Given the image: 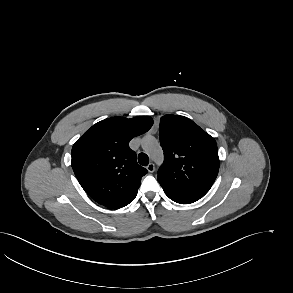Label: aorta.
Segmentation results:
<instances>
[{
  "label": "aorta",
  "mask_w": 293,
  "mask_h": 293,
  "mask_svg": "<svg viewBox=\"0 0 293 293\" xmlns=\"http://www.w3.org/2000/svg\"><path fill=\"white\" fill-rule=\"evenodd\" d=\"M143 146L149 151H154L158 149L157 141L152 137H146L143 141Z\"/></svg>",
  "instance_id": "aorta-1"
}]
</instances>
